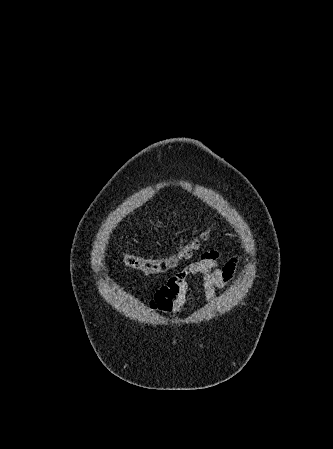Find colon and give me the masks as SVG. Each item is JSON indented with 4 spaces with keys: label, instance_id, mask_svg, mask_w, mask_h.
Returning a JSON list of instances; mask_svg holds the SVG:
<instances>
[{
    "label": "colon",
    "instance_id": "obj_1",
    "mask_svg": "<svg viewBox=\"0 0 333 449\" xmlns=\"http://www.w3.org/2000/svg\"><path fill=\"white\" fill-rule=\"evenodd\" d=\"M210 233V230L202 231L182 246L176 254L162 257H142L137 254L128 253L124 256V262L129 268L146 275L165 273L174 268L179 261L190 259L201 245L209 239Z\"/></svg>",
    "mask_w": 333,
    "mask_h": 449
}]
</instances>
